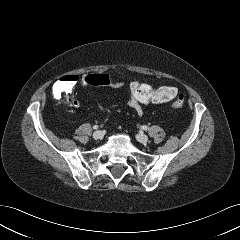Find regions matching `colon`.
Segmentation results:
<instances>
[{
    "label": "colon",
    "instance_id": "obj_1",
    "mask_svg": "<svg viewBox=\"0 0 240 240\" xmlns=\"http://www.w3.org/2000/svg\"><path fill=\"white\" fill-rule=\"evenodd\" d=\"M83 81L93 86H111L122 87L123 84L112 79L107 74L93 73L84 77ZM76 79L74 77H66L58 80L53 87L55 97L62 98L67 96ZM129 95L139 104L150 103H170L174 109L183 107L185 96L179 93L178 90L170 85L153 87L141 81H132L127 85Z\"/></svg>",
    "mask_w": 240,
    "mask_h": 240
}]
</instances>
